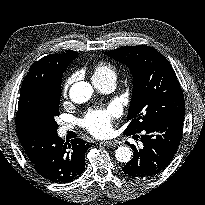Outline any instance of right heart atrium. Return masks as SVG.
Wrapping results in <instances>:
<instances>
[{"label": "right heart atrium", "mask_w": 205, "mask_h": 205, "mask_svg": "<svg viewBox=\"0 0 205 205\" xmlns=\"http://www.w3.org/2000/svg\"><path fill=\"white\" fill-rule=\"evenodd\" d=\"M73 80H74V76H70V77L66 80V82H65V84H64V88H63V91H64V92H67L68 87H69L70 84L73 82Z\"/></svg>", "instance_id": "d8ad5b80"}]
</instances>
